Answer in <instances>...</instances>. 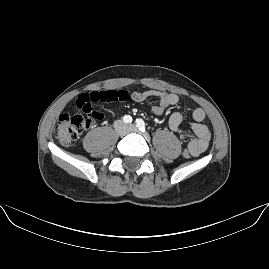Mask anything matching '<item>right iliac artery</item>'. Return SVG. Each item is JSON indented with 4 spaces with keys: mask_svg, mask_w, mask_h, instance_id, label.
<instances>
[{
    "mask_svg": "<svg viewBox=\"0 0 269 269\" xmlns=\"http://www.w3.org/2000/svg\"><path fill=\"white\" fill-rule=\"evenodd\" d=\"M123 121H124L125 123H131V122H132V117H131L130 115H125V116L123 117Z\"/></svg>",
    "mask_w": 269,
    "mask_h": 269,
    "instance_id": "obj_1",
    "label": "right iliac artery"
}]
</instances>
